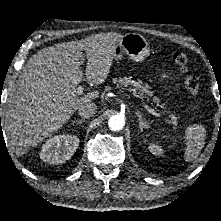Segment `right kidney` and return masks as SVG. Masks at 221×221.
<instances>
[{
  "label": "right kidney",
  "mask_w": 221,
  "mask_h": 221,
  "mask_svg": "<svg viewBox=\"0 0 221 221\" xmlns=\"http://www.w3.org/2000/svg\"><path fill=\"white\" fill-rule=\"evenodd\" d=\"M78 145L76 136L56 135L42 146L40 158L49 164L64 163L74 155Z\"/></svg>",
  "instance_id": "obj_1"
}]
</instances>
